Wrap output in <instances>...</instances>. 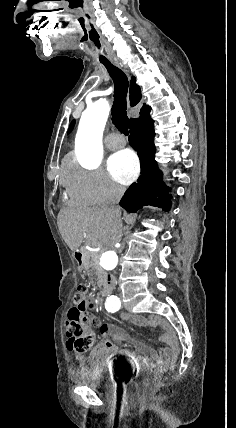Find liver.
<instances>
[{
  "label": "liver",
  "instance_id": "liver-1",
  "mask_svg": "<svg viewBox=\"0 0 236 428\" xmlns=\"http://www.w3.org/2000/svg\"><path fill=\"white\" fill-rule=\"evenodd\" d=\"M59 232L68 248L74 252L82 242L97 244L110 250L121 242L122 222L107 206L60 210L57 220Z\"/></svg>",
  "mask_w": 236,
  "mask_h": 428
}]
</instances>
